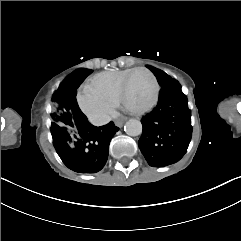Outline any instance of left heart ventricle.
Returning <instances> with one entry per match:
<instances>
[{"label": "left heart ventricle", "mask_w": 241, "mask_h": 241, "mask_svg": "<svg viewBox=\"0 0 241 241\" xmlns=\"http://www.w3.org/2000/svg\"><path fill=\"white\" fill-rule=\"evenodd\" d=\"M125 91L129 92L124 106L130 110H143L152 101L153 86L145 73H138L125 82Z\"/></svg>", "instance_id": "obj_1"}]
</instances>
